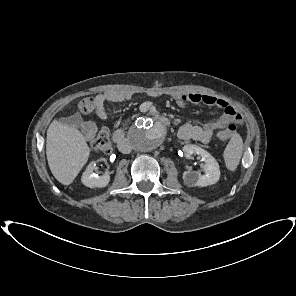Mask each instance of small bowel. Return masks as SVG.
Returning a JSON list of instances; mask_svg holds the SVG:
<instances>
[{
  "label": "small bowel",
  "mask_w": 296,
  "mask_h": 296,
  "mask_svg": "<svg viewBox=\"0 0 296 296\" xmlns=\"http://www.w3.org/2000/svg\"><path fill=\"white\" fill-rule=\"evenodd\" d=\"M131 94L126 91H109L99 94L92 98L83 100L79 106L81 113H89L96 111L100 117L106 116V103L121 102L129 99ZM170 97L180 106L205 104L213 106L222 111V114L208 122L187 123L178 130V137L181 140H194L207 144L211 141L213 134L218 129L225 128L231 122L242 121L241 115L227 101L213 97L211 95L199 93H180L174 92ZM80 128L87 140H91L97 131V127L93 121H82Z\"/></svg>",
  "instance_id": "obj_1"
}]
</instances>
